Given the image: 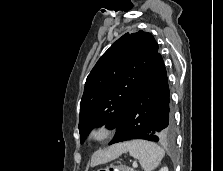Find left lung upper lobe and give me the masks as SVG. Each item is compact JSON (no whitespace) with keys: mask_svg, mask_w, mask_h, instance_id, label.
<instances>
[{"mask_svg":"<svg viewBox=\"0 0 223 171\" xmlns=\"http://www.w3.org/2000/svg\"><path fill=\"white\" fill-rule=\"evenodd\" d=\"M157 54L153 35L138 31L124 34L102 55L87 77L80 103L82 143L94 127L118 126Z\"/></svg>","mask_w":223,"mask_h":171,"instance_id":"5c2ea615","label":"left lung upper lobe"}]
</instances>
